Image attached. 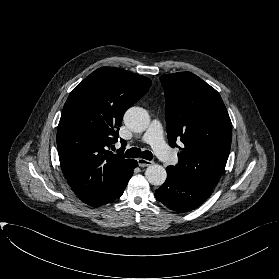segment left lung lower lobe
<instances>
[{"label": "left lung lower lobe", "instance_id": "left-lung-lower-lobe-1", "mask_svg": "<svg viewBox=\"0 0 279 279\" xmlns=\"http://www.w3.org/2000/svg\"><path fill=\"white\" fill-rule=\"evenodd\" d=\"M167 179L156 190V198L168 208L188 212L200 206L211 195L212 190L188 179L182 178L170 166L166 168Z\"/></svg>", "mask_w": 279, "mask_h": 279}]
</instances>
